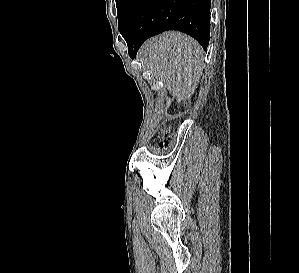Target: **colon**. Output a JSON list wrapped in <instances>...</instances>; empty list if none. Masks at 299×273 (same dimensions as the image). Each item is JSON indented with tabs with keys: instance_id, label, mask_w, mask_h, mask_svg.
Listing matches in <instances>:
<instances>
[{
	"instance_id": "colon-1",
	"label": "colon",
	"mask_w": 299,
	"mask_h": 273,
	"mask_svg": "<svg viewBox=\"0 0 299 273\" xmlns=\"http://www.w3.org/2000/svg\"><path fill=\"white\" fill-rule=\"evenodd\" d=\"M171 138V129L168 126H163L159 133L156 136V139L159 143V148L161 150H164L167 148L168 142L170 141Z\"/></svg>"
}]
</instances>
